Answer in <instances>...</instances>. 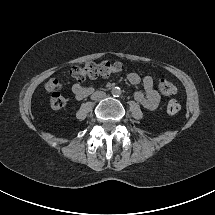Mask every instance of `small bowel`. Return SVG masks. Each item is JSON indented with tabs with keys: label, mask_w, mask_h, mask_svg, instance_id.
<instances>
[{
	"label": "small bowel",
	"mask_w": 215,
	"mask_h": 215,
	"mask_svg": "<svg viewBox=\"0 0 215 215\" xmlns=\"http://www.w3.org/2000/svg\"><path fill=\"white\" fill-rule=\"evenodd\" d=\"M127 79L132 85L142 84L143 92L135 93V99L140 104L149 110H154L158 107L161 98L159 93L154 88V81L151 77L146 76L141 78L136 73H130ZM92 92L93 89L91 87H86L81 84H75L72 87V94L77 99H83L89 96Z\"/></svg>",
	"instance_id": "c3829d8e"
}]
</instances>
